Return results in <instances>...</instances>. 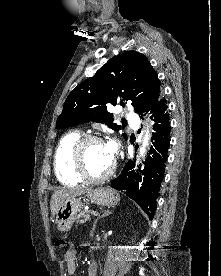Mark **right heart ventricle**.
Returning a JSON list of instances; mask_svg holds the SVG:
<instances>
[{
  "mask_svg": "<svg viewBox=\"0 0 221 276\" xmlns=\"http://www.w3.org/2000/svg\"><path fill=\"white\" fill-rule=\"evenodd\" d=\"M81 137L79 131L66 133L59 141L54 155V167L58 179L66 185H78L81 179L75 172L72 164V150Z\"/></svg>",
  "mask_w": 221,
  "mask_h": 276,
  "instance_id": "e07e8e85",
  "label": "right heart ventricle"
}]
</instances>
